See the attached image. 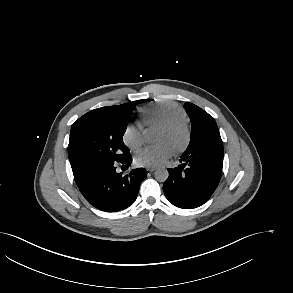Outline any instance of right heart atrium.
<instances>
[{
  "label": "right heart atrium",
  "instance_id": "right-heart-atrium-1",
  "mask_svg": "<svg viewBox=\"0 0 293 293\" xmlns=\"http://www.w3.org/2000/svg\"><path fill=\"white\" fill-rule=\"evenodd\" d=\"M122 141L131 150L139 148L143 143L141 130L132 124L127 125L122 134Z\"/></svg>",
  "mask_w": 293,
  "mask_h": 293
}]
</instances>
